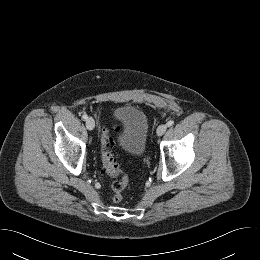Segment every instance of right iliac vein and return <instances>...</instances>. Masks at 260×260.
<instances>
[{"instance_id":"1","label":"right iliac vein","mask_w":260,"mask_h":260,"mask_svg":"<svg viewBox=\"0 0 260 260\" xmlns=\"http://www.w3.org/2000/svg\"><path fill=\"white\" fill-rule=\"evenodd\" d=\"M86 127H87L88 130H93L94 129L95 122H94L93 118H91V117L87 118V120H86Z\"/></svg>"}]
</instances>
